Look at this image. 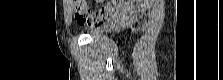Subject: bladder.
Wrapping results in <instances>:
<instances>
[{
    "mask_svg": "<svg viewBox=\"0 0 223 80\" xmlns=\"http://www.w3.org/2000/svg\"><path fill=\"white\" fill-rule=\"evenodd\" d=\"M105 29H106L105 24L94 26L89 29V34L92 36H96V35L103 33L105 31Z\"/></svg>",
    "mask_w": 223,
    "mask_h": 80,
    "instance_id": "bladder-1",
    "label": "bladder"
}]
</instances>
